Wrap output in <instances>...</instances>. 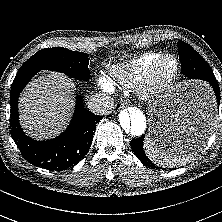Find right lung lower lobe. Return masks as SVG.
Listing matches in <instances>:
<instances>
[{
  "instance_id": "1",
  "label": "right lung lower lobe",
  "mask_w": 222,
  "mask_h": 222,
  "mask_svg": "<svg viewBox=\"0 0 222 222\" xmlns=\"http://www.w3.org/2000/svg\"><path fill=\"white\" fill-rule=\"evenodd\" d=\"M39 70L18 71L11 87L10 132L22 156L31 164L48 169L62 170L77 164L90 148L96 124L103 118L84 108L79 96L73 118L59 137L36 141L24 134L18 120V97Z\"/></svg>"
}]
</instances>
